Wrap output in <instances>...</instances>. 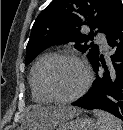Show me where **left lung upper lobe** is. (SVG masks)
I'll return each mask as SVG.
<instances>
[{
  "label": "left lung upper lobe",
  "instance_id": "5c2ea615",
  "mask_svg": "<svg viewBox=\"0 0 123 130\" xmlns=\"http://www.w3.org/2000/svg\"><path fill=\"white\" fill-rule=\"evenodd\" d=\"M122 12L120 0H53L35 20L26 47L25 65L44 48L62 43H74L80 52H88L87 57L92 62L99 55L98 46L87 45L93 39V30L108 36ZM84 25L90 27L89 35L80 32Z\"/></svg>",
  "mask_w": 123,
  "mask_h": 130
}]
</instances>
